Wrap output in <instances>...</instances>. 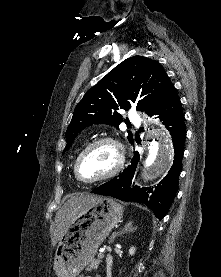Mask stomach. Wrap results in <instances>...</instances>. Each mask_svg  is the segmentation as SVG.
<instances>
[{
    "label": "stomach",
    "instance_id": "stomach-1",
    "mask_svg": "<svg viewBox=\"0 0 221 277\" xmlns=\"http://www.w3.org/2000/svg\"><path fill=\"white\" fill-rule=\"evenodd\" d=\"M123 207L99 198L83 208L59 240L54 258L58 277H76L94 259L100 244L121 221Z\"/></svg>",
    "mask_w": 221,
    "mask_h": 277
}]
</instances>
